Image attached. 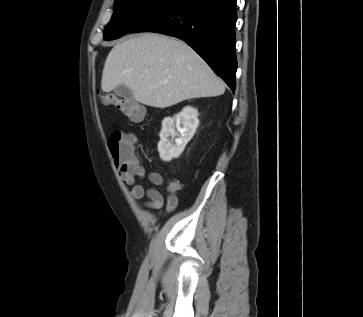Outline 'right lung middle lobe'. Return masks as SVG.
Wrapping results in <instances>:
<instances>
[{"instance_id": "right-lung-middle-lobe-1", "label": "right lung middle lobe", "mask_w": 363, "mask_h": 317, "mask_svg": "<svg viewBox=\"0 0 363 317\" xmlns=\"http://www.w3.org/2000/svg\"><path fill=\"white\" fill-rule=\"evenodd\" d=\"M177 0H115L111 21L104 29V39H116L132 31Z\"/></svg>"}]
</instances>
